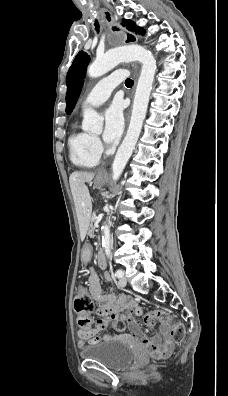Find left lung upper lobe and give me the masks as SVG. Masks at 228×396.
<instances>
[{"mask_svg": "<svg viewBox=\"0 0 228 396\" xmlns=\"http://www.w3.org/2000/svg\"><path fill=\"white\" fill-rule=\"evenodd\" d=\"M123 25L127 27L129 31H135L136 33L143 34V29L136 26L131 20H123ZM133 36H128V41H133ZM127 41V42H128ZM90 61V57L87 53L80 51L75 57L66 78L67 93H66V113L70 114L75 107L77 99L80 95L83 80L86 74V68Z\"/></svg>", "mask_w": 228, "mask_h": 396, "instance_id": "left-lung-upper-lobe-1", "label": "left lung upper lobe"}]
</instances>
